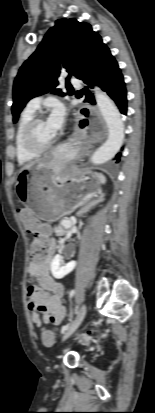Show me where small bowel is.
I'll return each instance as SVG.
<instances>
[{"instance_id": "small-bowel-1", "label": "small bowel", "mask_w": 155, "mask_h": 413, "mask_svg": "<svg viewBox=\"0 0 155 413\" xmlns=\"http://www.w3.org/2000/svg\"><path fill=\"white\" fill-rule=\"evenodd\" d=\"M17 216L21 218L27 231H38L46 244L47 254L43 261L32 260L28 265V274L37 280V284L28 287V308L32 322L44 331L45 325L59 324L66 316L62 303L64 286L50 274V264L55 252V241L50 237L51 230L46 218H33L34 211L23 205L16 207Z\"/></svg>"}]
</instances>
